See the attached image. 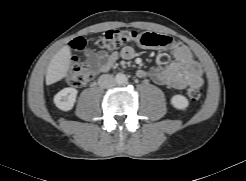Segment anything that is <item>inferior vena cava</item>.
<instances>
[{
  "instance_id": "obj_1",
  "label": "inferior vena cava",
  "mask_w": 246,
  "mask_h": 181,
  "mask_svg": "<svg viewBox=\"0 0 246 181\" xmlns=\"http://www.w3.org/2000/svg\"><path fill=\"white\" fill-rule=\"evenodd\" d=\"M98 84L103 88H110L115 86L116 80L113 75L103 74L99 77Z\"/></svg>"
}]
</instances>
